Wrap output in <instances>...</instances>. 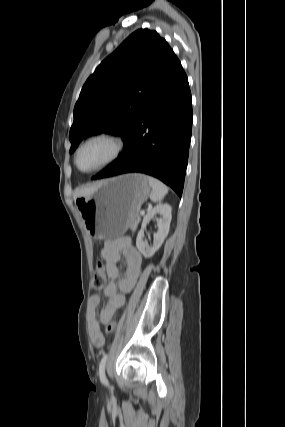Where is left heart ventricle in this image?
<instances>
[{"mask_svg": "<svg viewBox=\"0 0 285 427\" xmlns=\"http://www.w3.org/2000/svg\"><path fill=\"white\" fill-rule=\"evenodd\" d=\"M113 144L106 140L93 141L83 148L79 156V166L90 170L105 162L113 152Z\"/></svg>", "mask_w": 285, "mask_h": 427, "instance_id": "b2bd125f", "label": "left heart ventricle"}]
</instances>
